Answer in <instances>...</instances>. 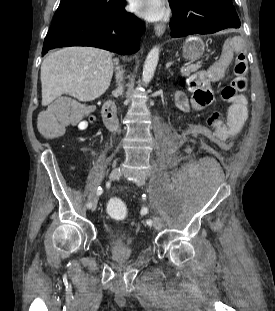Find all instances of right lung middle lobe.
<instances>
[{"label":"right lung middle lobe","mask_w":275,"mask_h":311,"mask_svg":"<svg viewBox=\"0 0 275 311\" xmlns=\"http://www.w3.org/2000/svg\"><path fill=\"white\" fill-rule=\"evenodd\" d=\"M118 0H61L53 22L87 13L98 12L113 7Z\"/></svg>","instance_id":"dd1d6c3e"}]
</instances>
